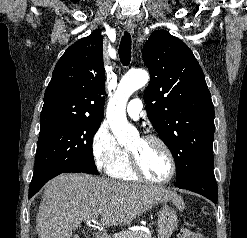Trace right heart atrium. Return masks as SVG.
<instances>
[{"instance_id": "1", "label": "right heart atrium", "mask_w": 247, "mask_h": 238, "mask_svg": "<svg viewBox=\"0 0 247 238\" xmlns=\"http://www.w3.org/2000/svg\"><path fill=\"white\" fill-rule=\"evenodd\" d=\"M92 156L97 169L108 172L125 155L107 123H101L91 142Z\"/></svg>"}]
</instances>
